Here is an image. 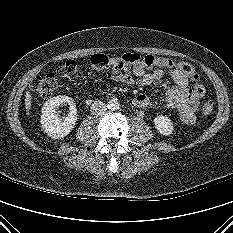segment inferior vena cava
<instances>
[{
	"instance_id": "1",
	"label": "inferior vena cava",
	"mask_w": 233,
	"mask_h": 233,
	"mask_svg": "<svg viewBox=\"0 0 233 233\" xmlns=\"http://www.w3.org/2000/svg\"><path fill=\"white\" fill-rule=\"evenodd\" d=\"M90 111L94 115H102L107 111V105L101 101H95L91 105Z\"/></svg>"
}]
</instances>
